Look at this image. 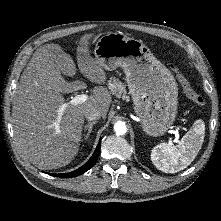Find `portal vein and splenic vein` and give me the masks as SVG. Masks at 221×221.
<instances>
[{
    "label": "portal vein and splenic vein",
    "mask_w": 221,
    "mask_h": 221,
    "mask_svg": "<svg viewBox=\"0 0 221 221\" xmlns=\"http://www.w3.org/2000/svg\"><path fill=\"white\" fill-rule=\"evenodd\" d=\"M88 100V95L86 94H78L75 97H73L68 103L63 104L60 109H59V115L61 116V114L63 113L64 109L68 106V105H78L81 103H84ZM174 142H178V139L176 138L174 140ZM170 143H172V141H170Z\"/></svg>",
    "instance_id": "1"
}]
</instances>
